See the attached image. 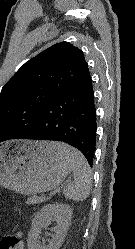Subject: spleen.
Masks as SVG:
<instances>
[{
  "label": "spleen",
  "mask_w": 135,
  "mask_h": 249,
  "mask_svg": "<svg viewBox=\"0 0 135 249\" xmlns=\"http://www.w3.org/2000/svg\"><path fill=\"white\" fill-rule=\"evenodd\" d=\"M51 147L68 159L72 166L73 180L64 188V196L77 202L86 200L92 184V171L86 158L77 149L64 143L52 142Z\"/></svg>",
  "instance_id": "obj_1"
}]
</instances>
